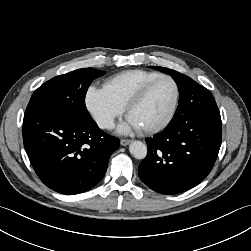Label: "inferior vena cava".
<instances>
[{"label":"inferior vena cava","mask_w":251,"mask_h":251,"mask_svg":"<svg viewBox=\"0 0 251 251\" xmlns=\"http://www.w3.org/2000/svg\"><path fill=\"white\" fill-rule=\"evenodd\" d=\"M100 127L111 129L114 127L113 120L111 119H104L99 122Z\"/></svg>","instance_id":"inferior-vena-cava-1"}]
</instances>
